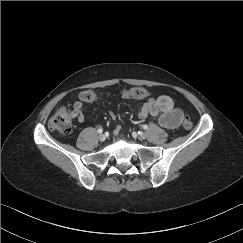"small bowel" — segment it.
<instances>
[{
  "label": "small bowel",
  "mask_w": 243,
  "mask_h": 243,
  "mask_svg": "<svg viewBox=\"0 0 243 243\" xmlns=\"http://www.w3.org/2000/svg\"><path fill=\"white\" fill-rule=\"evenodd\" d=\"M158 115L159 125L167 129H172L180 125L184 113L181 109L175 107L173 99L168 95H161L157 98L148 97L146 102L141 103L137 107V116L139 119ZM73 116L78 122L84 121L83 102L81 98L73 103ZM121 129V124H116L114 133L118 134Z\"/></svg>",
  "instance_id": "small-bowel-1"
}]
</instances>
